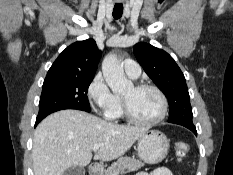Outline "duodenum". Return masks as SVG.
<instances>
[{
    "mask_svg": "<svg viewBox=\"0 0 233 175\" xmlns=\"http://www.w3.org/2000/svg\"><path fill=\"white\" fill-rule=\"evenodd\" d=\"M99 174V169L96 165H90L89 166V175H98Z\"/></svg>",
    "mask_w": 233,
    "mask_h": 175,
    "instance_id": "1",
    "label": "duodenum"
}]
</instances>
